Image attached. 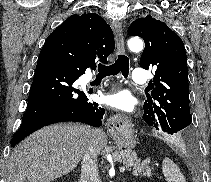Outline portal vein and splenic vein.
I'll return each instance as SVG.
<instances>
[{
    "label": "portal vein and splenic vein",
    "mask_w": 211,
    "mask_h": 182,
    "mask_svg": "<svg viewBox=\"0 0 211 182\" xmlns=\"http://www.w3.org/2000/svg\"><path fill=\"white\" fill-rule=\"evenodd\" d=\"M124 171H125V167H120V172L124 173Z\"/></svg>",
    "instance_id": "18ae733b"
}]
</instances>
